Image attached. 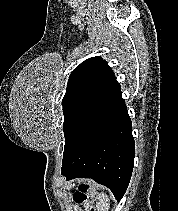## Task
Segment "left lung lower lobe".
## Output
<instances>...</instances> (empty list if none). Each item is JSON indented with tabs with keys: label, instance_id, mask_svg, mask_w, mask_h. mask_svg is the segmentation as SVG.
I'll return each mask as SVG.
<instances>
[{
	"label": "left lung lower lobe",
	"instance_id": "left-lung-lower-lobe-1",
	"mask_svg": "<svg viewBox=\"0 0 178 211\" xmlns=\"http://www.w3.org/2000/svg\"><path fill=\"white\" fill-rule=\"evenodd\" d=\"M135 157L132 124L118 86L103 114L62 162L67 180L88 177L105 185L119 201L128 187Z\"/></svg>",
	"mask_w": 178,
	"mask_h": 211
}]
</instances>
